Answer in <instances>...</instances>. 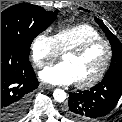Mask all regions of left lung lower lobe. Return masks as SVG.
<instances>
[{
  "label": "left lung lower lobe",
  "instance_id": "0a47b994",
  "mask_svg": "<svg viewBox=\"0 0 122 122\" xmlns=\"http://www.w3.org/2000/svg\"><path fill=\"white\" fill-rule=\"evenodd\" d=\"M122 95V71L106 75L104 79L80 93H69L63 114L77 122L89 121L107 115Z\"/></svg>",
  "mask_w": 122,
  "mask_h": 122
}]
</instances>
